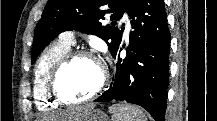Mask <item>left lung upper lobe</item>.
Masks as SVG:
<instances>
[{
  "mask_svg": "<svg viewBox=\"0 0 217 121\" xmlns=\"http://www.w3.org/2000/svg\"><path fill=\"white\" fill-rule=\"evenodd\" d=\"M133 0H48L42 17L35 28L32 64L40 52L61 32L78 30L102 38L113 55L122 41L123 28L116 26L124 12H128ZM104 5L110 9L101 10ZM107 14L111 24L102 25Z\"/></svg>",
  "mask_w": 217,
  "mask_h": 121,
  "instance_id": "obj_1",
  "label": "left lung upper lobe"
}]
</instances>
